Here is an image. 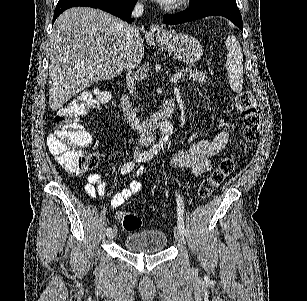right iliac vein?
<instances>
[{"instance_id":"63e3f726","label":"right iliac vein","mask_w":307,"mask_h":301,"mask_svg":"<svg viewBox=\"0 0 307 301\" xmlns=\"http://www.w3.org/2000/svg\"><path fill=\"white\" fill-rule=\"evenodd\" d=\"M117 232H118L117 228L114 227V228L111 230L110 234H108V239H109V240H113V239L115 238V236L117 235Z\"/></svg>"}]
</instances>
